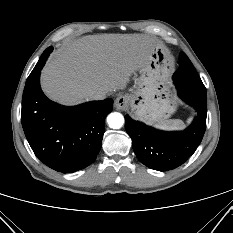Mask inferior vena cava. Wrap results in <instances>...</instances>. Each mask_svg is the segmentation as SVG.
I'll return each mask as SVG.
<instances>
[{
    "label": "inferior vena cava",
    "mask_w": 233,
    "mask_h": 233,
    "mask_svg": "<svg viewBox=\"0 0 233 233\" xmlns=\"http://www.w3.org/2000/svg\"><path fill=\"white\" fill-rule=\"evenodd\" d=\"M107 97V91L105 90H98L91 95L92 100H103Z\"/></svg>",
    "instance_id": "obj_1"
}]
</instances>
